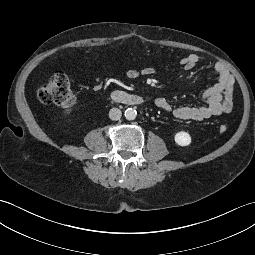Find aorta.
<instances>
[{
  "label": "aorta",
  "instance_id": "1",
  "mask_svg": "<svg viewBox=\"0 0 255 255\" xmlns=\"http://www.w3.org/2000/svg\"><path fill=\"white\" fill-rule=\"evenodd\" d=\"M124 115L127 120H134L137 116V111L134 108H127Z\"/></svg>",
  "mask_w": 255,
  "mask_h": 255
}]
</instances>
